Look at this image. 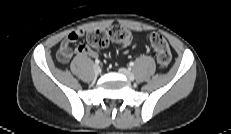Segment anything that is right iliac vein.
Returning a JSON list of instances; mask_svg holds the SVG:
<instances>
[{
    "label": "right iliac vein",
    "mask_w": 231,
    "mask_h": 134,
    "mask_svg": "<svg viewBox=\"0 0 231 134\" xmlns=\"http://www.w3.org/2000/svg\"><path fill=\"white\" fill-rule=\"evenodd\" d=\"M93 71H94L95 75H99V73L101 72V69H100V67L97 64H95L93 66Z\"/></svg>",
    "instance_id": "63e3f726"
}]
</instances>
